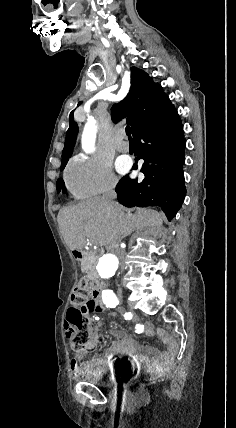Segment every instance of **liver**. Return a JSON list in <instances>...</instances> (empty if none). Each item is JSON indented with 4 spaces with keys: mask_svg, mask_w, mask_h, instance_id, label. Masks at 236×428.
<instances>
[{
    "mask_svg": "<svg viewBox=\"0 0 236 428\" xmlns=\"http://www.w3.org/2000/svg\"><path fill=\"white\" fill-rule=\"evenodd\" d=\"M61 234L70 250H83L86 240L94 246L112 248L121 244L126 236L136 230L149 228L151 236H157L162 224V216L155 210L138 208L135 214L116 204L109 208L104 196L89 198L78 206L64 208L57 216Z\"/></svg>",
    "mask_w": 236,
    "mask_h": 428,
    "instance_id": "liver-1",
    "label": "liver"
}]
</instances>
